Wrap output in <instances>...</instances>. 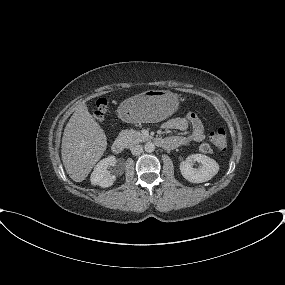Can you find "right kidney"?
<instances>
[{
	"instance_id": "ca27d5eb",
	"label": "right kidney",
	"mask_w": 285,
	"mask_h": 285,
	"mask_svg": "<svg viewBox=\"0 0 285 285\" xmlns=\"http://www.w3.org/2000/svg\"><path fill=\"white\" fill-rule=\"evenodd\" d=\"M115 163L116 158L114 156H110L99 161L91 174V184L98 185L102 188L112 186L116 180V176L110 175L107 171V167L114 165Z\"/></svg>"
}]
</instances>
